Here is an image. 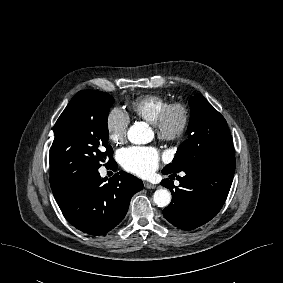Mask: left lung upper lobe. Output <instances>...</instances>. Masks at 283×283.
I'll list each match as a JSON object with an SVG mask.
<instances>
[{
    "label": "left lung upper lobe",
    "instance_id": "5c2ea615",
    "mask_svg": "<svg viewBox=\"0 0 283 283\" xmlns=\"http://www.w3.org/2000/svg\"><path fill=\"white\" fill-rule=\"evenodd\" d=\"M188 139L178 148L173 162L164 170L178 172L205 163L234 159V147L224 117L200 94L189 100Z\"/></svg>",
    "mask_w": 283,
    "mask_h": 283
}]
</instances>
